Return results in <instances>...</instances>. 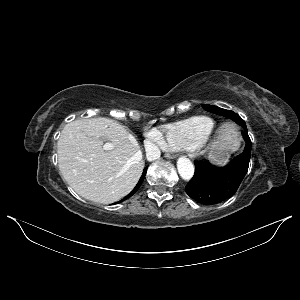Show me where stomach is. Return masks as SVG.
I'll return each mask as SVG.
<instances>
[{
  "label": "stomach",
  "instance_id": "stomach-1",
  "mask_svg": "<svg viewBox=\"0 0 300 300\" xmlns=\"http://www.w3.org/2000/svg\"><path fill=\"white\" fill-rule=\"evenodd\" d=\"M225 129H228V128H225ZM231 132H232V135L234 136V144L227 146L225 148L224 147H215L210 155V157L218 164L225 163L227 160V157H228V151L234 150L238 146V141L235 137V134L232 130H231Z\"/></svg>",
  "mask_w": 300,
  "mask_h": 300
}]
</instances>
